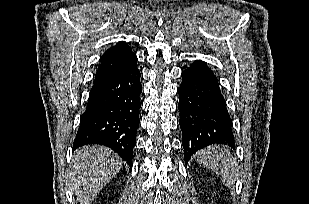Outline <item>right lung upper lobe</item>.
Listing matches in <instances>:
<instances>
[{
    "label": "right lung upper lobe",
    "mask_w": 309,
    "mask_h": 204,
    "mask_svg": "<svg viewBox=\"0 0 309 204\" xmlns=\"http://www.w3.org/2000/svg\"><path fill=\"white\" fill-rule=\"evenodd\" d=\"M137 57L125 42H118L108 49L100 59L94 81H100L121 73L136 65Z\"/></svg>",
    "instance_id": "obj_1"
}]
</instances>
